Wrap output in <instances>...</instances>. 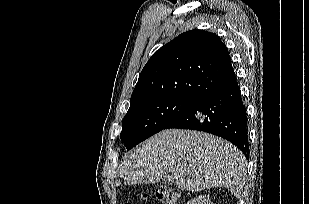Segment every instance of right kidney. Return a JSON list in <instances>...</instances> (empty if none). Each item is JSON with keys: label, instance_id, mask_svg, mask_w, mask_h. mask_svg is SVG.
<instances>
[{"label": "right kidney", "instance_id": "ca27d5eb", "mask_svg": "<svg viewBox=\"0 0 309 204\" xmlns=\"http://www.w3.org/2000/svg\"><path fill=\"white\" fill-rule=\"evenodd\" d=\"M187 204H213L209 196L200 195L197 198L192 199L191 201L187 202Z\"/></svg>", "mask_w": 309, "mask_h": 204}]
</instances>
